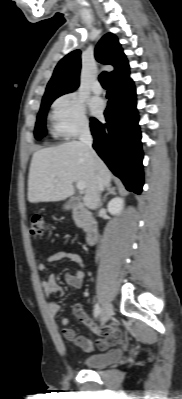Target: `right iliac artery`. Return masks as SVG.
Listing matches in <instances>:
<instances>
[{"mask_svg": "<svg viewBox=\"0 0 182 399\" xmlns=\"http://www.w3.org/2000/svg\"><path fill=\"white\" fill-rule=\"evenodd\" d=\"M100 312H101V308H100L99 304H95L94 312H93L94 317L97 318L100 315Z\"/></svg>", "mask_w": 182, "mask_h": 399, "instance_id": "1", "label": "right iliac artery"}]
</instances>
